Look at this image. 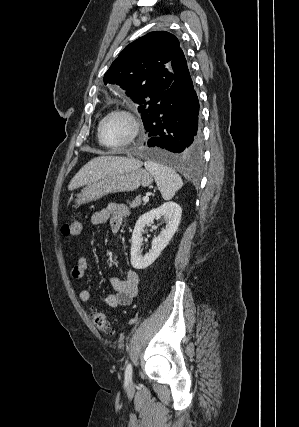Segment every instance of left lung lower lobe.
Masks as SVG:
<instances>
[{"label": "left lung lower lobe", "mask_w": 299, "mask_h": 427, "mask_svg": "<svg viewBox=\"0 0 299 427\" xmlns=\"http://www.w3.org/2000/svg\"><path fill=\"white\" fill-rule=\"evenodd\" d=\"M171 64L172 84L147 108L142 120L150 137L148 154L156 160L181 163L201 152L199 101L180 46Z\"/></svg>", "instance_id": "obj_1"}]
</instances>
